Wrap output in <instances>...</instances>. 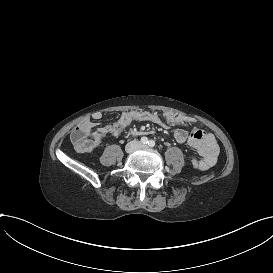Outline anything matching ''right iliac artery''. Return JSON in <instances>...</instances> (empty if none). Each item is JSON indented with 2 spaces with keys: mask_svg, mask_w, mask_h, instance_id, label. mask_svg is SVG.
Returning <instances> with one entry per match:
<instances>
[{
  "mask_svg": "<svg viewBox=\"0 0 273 273\" xmlns=\"http://www.w3.org/2000/svg\"><path fill=\"white\" fill-rule=\"evenodd\" d=\"M149 141H148V138L147 137H142L141 138V143L143 144H147Z\"/></svg>",
  "mask_w": 273,
  "mask_h": 273,
  "instance_id": "1",
  "label": "right iliac artery"
}]
</instances>
